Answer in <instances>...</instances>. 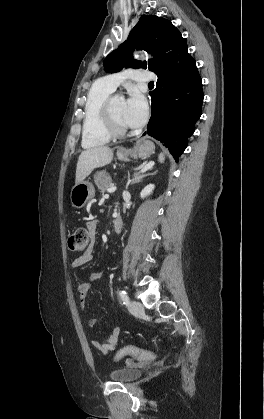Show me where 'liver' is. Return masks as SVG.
I'll use <instances>...</instances> for the list:
<instances>
[{"instance_id":"obj_1","label":"liver","mask_w":264,"mask_h":419,"mask_svg":"<svg viewBox=\"0 0 264 419\" xmlns=\"http://www.w3.org/2000/svg\"><path fill=\"white\" fill-rule=\"evenodd\" d=\"M112 159L113 149L107 146H99L82 151L77 162L75 183L82 182L95 168L109 164Z\"/></svg>"}]
</instances>
